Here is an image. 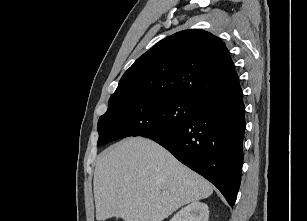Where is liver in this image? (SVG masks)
<instances>
[{
	"label": "liver",
	"mask_w": 307,
	"mask_h": 221,
	"mask_svg": "<svg viewBox=\"0 0 307 221\" xmlns=\"http://www.w3.org/2000/svg\"><path fill=\"white\" fill-rule=\"evenodd\" d=\"M93 190L98 221H163L213 193L202 176L142 137L124 139L99 155Z\"/></svg>",
	"instance_id": "6515ba94"
}]
</instances>
